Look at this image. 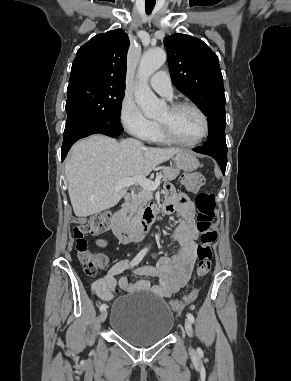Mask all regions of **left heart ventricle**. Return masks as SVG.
Segmentation results:
<instances>
[{"mask_svg":"<svg viewBox=\"0 0 291 381\" xmlns=\"http://www.w3.org/2000/svg\"><path fill=\"white\" fill-rule=\"evenodd\" d=\"M157 121L170 128L172 133L181 141H195L203 131L201 117L192 109L184 108L171 113L166 108L157 118Z\"/></svg>","mask_w":291,"mask_h":381,"instance_id":"b2bd125f","label":"left heart ventricle"}]
</instances>
